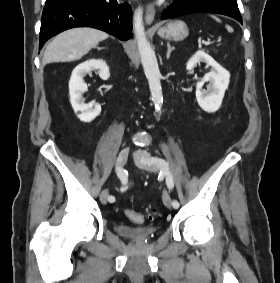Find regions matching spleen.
<instances>
[{
  "instance_id": "obj_1",
  "label": "spleen",
  "mask_w": 280,
  "mask_h": 283,
  "mask_svg": "<svg viewBox=\"0 0 280 283\" xmlns=\"http://www.w3.org/2000/svg\"><path fill=\"white\" fill-rule=\"evenodd\" d=\"M213 18H214L216 21L220 22V20H219L218 18H216V17H214V16H213ZM225 28L227 29L228 32H230V33L233 32V28L230 27L229 25H226Z\"/></svg>"
}]
</instances>
